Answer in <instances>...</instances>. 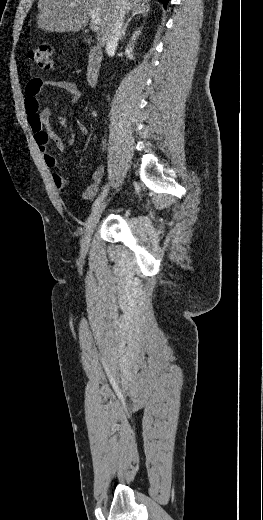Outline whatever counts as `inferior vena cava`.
I'll use <instances>...</instances> for the list:
<instances>
[{"label": "inferior vena cava", "mask_w": 263, "mask_h": 520, "mask_svg": "<svg viewBox=\"0 0 263 520\" xmlns=\"http://www.w3.org/2000/svg\"><path fill=\"white\" fill-rule=\"evenodd\" d=\"M128 6L127 0H118L116 12L114 16L113 25L106 42V51L115 50L118 45L119 38L123 30L124 17L126 8Z\"/></svg>", "instance_id": "obj_1"}]
</instances>
